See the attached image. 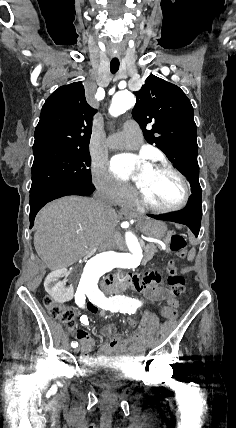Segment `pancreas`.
<instances>
[{"label": "pancreas", "instance_id": "cf45deb5", "mask_svg": "<svg viewBox=\"0 0 236 428\" xmlns=\"http://www.w3.org/2000/svg\"><path fill=\"white\" fill-rule=\"evenodd\" d=\"M158 250H161V246H154V244H147V246H144V258L142 260V264H147L149 260H152Z\"/></svg>", "mask_w": 236, "mask_h": 428}]
</instances>
